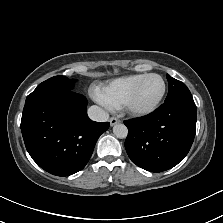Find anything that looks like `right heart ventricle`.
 <instances>
[{
  "mask_svg": "<svg viewBox=\"0 0 223 223\" xmlns=\"http://www.w3.org/2000/svg\"><path fill=\"white\" fill-rule=\"evenodd\" d=\"M145 74H130L114 79L101 88L104 103L111 108H120L128 93Z\"/></svg>",
  "mask_w": 223,
  "mask_h": 223,
  "instance_id": "obj_1",
  "label": "right heart ventricle"
}]
</instances>
